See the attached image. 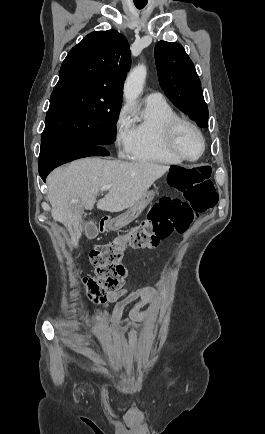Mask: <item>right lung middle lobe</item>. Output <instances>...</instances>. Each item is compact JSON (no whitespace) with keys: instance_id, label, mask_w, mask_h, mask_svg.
Wrapping results in <instances>:
<instances>
[{"instance_id":"1","label":"right lung middle lobe","mask_w":265,"mask_h":434,"mask_svg":"<svg viewBox=\"0 0 265 434\" xmlns=\"http://www.w3.org/2000/svg\"><path fill=\"white\" fill-rule=\"evenodd\" d=\"M122 94L86 81L57 83L42 145L104 146L115 141Z\"/></svg>"}]
</instances>
